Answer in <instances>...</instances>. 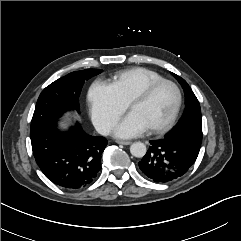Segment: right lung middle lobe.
<instances>
[{
  "instance_id": "dd1d6c3e",
  "label": "right lung middle lobe",
  "mask_w": 241,
  "mask_h": 241,
  "mask_svg": "<svg viewBox=\"0 0 241 241\" xmlns=\"http://www.w3.org/2000/svg\"><path fill=\"white\" fill-rule=\"evenodd\" d=\"M100 69L72 72L46 87L40 94L31 121L30 136L55 122L68 110L79 112L78 97L84 82Z\"/></svg>"
}]
</instances>
